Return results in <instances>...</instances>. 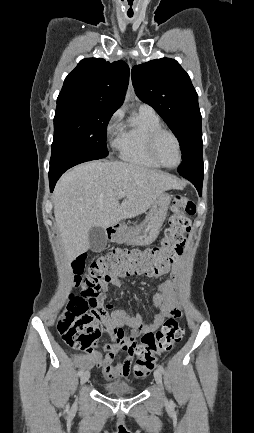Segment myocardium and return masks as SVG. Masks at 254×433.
<instances>
[{"instance_id":"obj_1","label":"myocardium","mask_w":254,"mask_h":433,"mask_svg":"<svg viewBox=\"0 0 254 433\" xmlns=\"http://www.w3.org/2000/svg\"><path fill=\"white\" fill-rule=\"evenodd\" d=\"M161 134L170 135L176 143L177 150H178V161L173 166H167V165L163 164L157 156L156 143H157V140ZM147 148H148V153H149L150 157L153 159V161L159 167L166 168V169H175L182 162V149H181V144H180L179 138L177 137V135L174 132H172L169 129H166L164 127H158L156 129H154L153 131H151V133L149 134V137H148V141H147Z\"/></svg>"}]
</instances>
